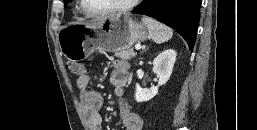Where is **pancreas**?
Masks as SVG:
<instances>
[{"mask_svg": "<svg viewBox=\"0 0 257 130\" xmlns=\"http://www.w3.org/2000/svg\"><path fill=\"white\" fill-rule=\"evenodd\" d=\"M115 56L124 60H129L136 56V52L133 49L127 48L115 52Z\"/></svg>", "mask_w": 257, "mask_h": 130, "instance_id": "pancreas-1", "label": "pancreas"}]
</instances>
